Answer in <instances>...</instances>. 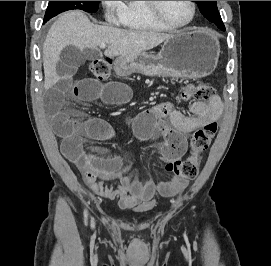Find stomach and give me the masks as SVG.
I'll return each mask as SVG.
<instances>
[{
    "label": "stomach",
    "instance_id": "1",
    "mask_svg": "<svg viewBox=\"0 0 271 266\" xmlns=\"http://www.w3.org/2000/svg\"><path fill=\"white\" fill-rule=\"evenodd\" d=\"M219 53V41L212 32L189 29L165 40L157 55L141 52L119 57L116 66L121 72L197 79L215 70Z\"/></svg>",
    "mask_w": 271,
    "mask_h": 266
}]
</instances>
